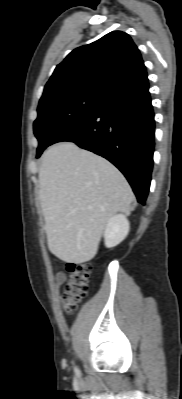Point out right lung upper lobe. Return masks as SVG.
I'll use <instances>...</instances> for the list:
<instances>
[{"mask_svg": "<svg viewBox=\"0 0 182 399\" xmlns=\"http://www.w3.org/2000/svg\"><path fill=\"white\" fill-rule=\"evenodd\" d=\"M146 81L137 46L128 34L113 31L67 55L47 82L40 102L81 93L106 97Z\"/></svg>", "mask_w": 182, "mask_h": 399, "instance_id": "cb5924a9", "label": "right lung upper lobe"}]
</instances>
